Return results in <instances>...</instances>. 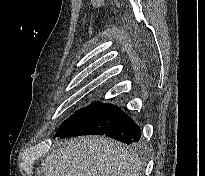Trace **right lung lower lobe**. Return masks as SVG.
<instances>
[{
  "mask_svg": "<svg viewBox=\"0 0 205 176\" xmlns=\"http://www.w3.org/2000/svg\"><path fill=\"white\" fill-rule=\"evenodd\" d=\"M105 135L126 144H135L140 140L141 130L132 118L125 114V117L108 130Z\"/></svg>",
  "mask_w": 205,
  "mask_h": 176,
  "instance_id": "1",
  "label": "right lung lower lobe"
}]
</instances>
